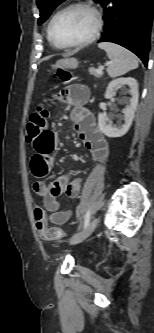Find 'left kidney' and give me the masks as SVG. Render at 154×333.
I'll list each match as a JSON object with an SVG mask.
<instances>
[{"instance_id": "1", "label": "left kidney", "mask_w": 154, "mask_h": 333, "mask_svg": "<svg viewBox=\"0 0 154 333\" xmlns=\"http://www.w3.org/2000/svg\"><path fill=\"white\" fill-rule=\"evenodd\" d=\"M119 85L129 86L131 98L126 101L128 104L124 109V124L120 126L113 124L112 120L106 114H98L99 129L107 137H121L128 132L132 125L134 114L138 105V83L132 77L112 80L106 89L105 98H111L114 95V89Z\"/></svg>"}]
</instances>
